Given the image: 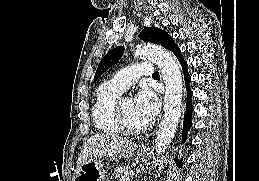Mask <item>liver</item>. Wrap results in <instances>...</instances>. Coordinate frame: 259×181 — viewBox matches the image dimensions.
<instances>
[{
  "mask_svg": "<svg viewBox=\"0 0 259 181\" xmlns=\"http://www.w3.org/2000/svg\"><path fill=\"white\" fill-rule=\"evenodd\" d=\"M133 142L114 134H95L87 140L77 160L79 168L87 160L97 157L128 158L136 150Z\"/></svg>",
  "mask_w": 259,
  "mask_h": 181,
  "instance_id": "6515ba94",
  "label": "liver"
}]
</instances>
